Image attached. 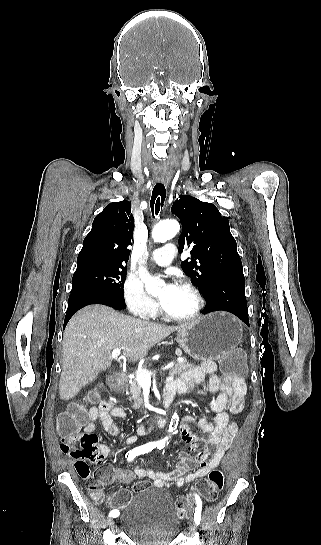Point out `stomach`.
Segmentation results:
<instances>
[{
    "mask_svg": "<svg viewBox=\"0 0 321 545\" xmlns=\"http://www.w3.org/2000/svg\"><path fill=\"white\" fill-rule=\"evenodd\" d=\"M242 337L241 321L231 313L218 311L183 325L176 341L193 359H221L238 347Z\"/></svg>",
    "mask_w": 321,
    "mask_h": 545,
    "instance_id": "1",
    "label": "stomach"
}]
</instances>
